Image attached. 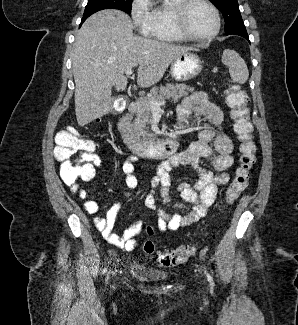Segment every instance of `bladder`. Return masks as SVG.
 <instances>
[{
  "label": "bladder",
  "instance_id": "1",
  "mask_svg": "<svg viewBox=\"0 0 298 325\" xmlns=\"http://www.w3.org/2000/svg\"><path fill=\"white\" fill-rule=\"evenodd\" d=\"M129 272L131 276L140 281H163L169 277L167 271L155 269L138 261L132 262Z\"/></svg>",
  "mask_w": 298,
  "mask_h": 325
}]
</instances>
